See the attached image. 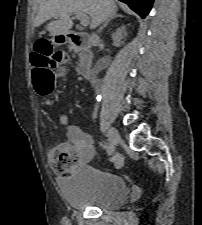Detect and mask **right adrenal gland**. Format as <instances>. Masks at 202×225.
I'll list each match as a JSON object with an SVG mask.
<instances>
[{
  "label": "right adrenal gland",
  "instance_id": "right-adrenal-gland-1",
  "mask_svg": "<svg viewBox=\"0 0 202 225\" xmlns=\"http://www.w3.org/2000/svg\"><path fill=\"white\" fill-rule=\"evenodd\" d=\"M118 17L122 18V17H124V16L118 14L117 11L113 12V13L109 16V18L107 19V21H105V23L99 28L98 34H99L105 27H107L108 23H109L112 19H115V18H118Z\"/></svg>",
  "mask_w": 202,
  "mask_h": 225
}]
</instances>
